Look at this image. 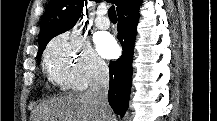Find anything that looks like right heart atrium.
Instances as JSON below:
<instances>
[{
	"label": "right heart atrium",
	"mask_w": 217,
	"mask_h": 121,
	"mask_svg": "<svg viewBox=\"0 0 217 121\" xmlns=\"http://www.w3.org/2000/svg\"><path fill=\"white\" fill-rule=\"evenodd\" d=\"M44 69L62 89L84 90L109 75L104 60L76 32H64L51 40L44 53Z\"/></svg>",
	"instance_id": "1"
}]
</instances>
